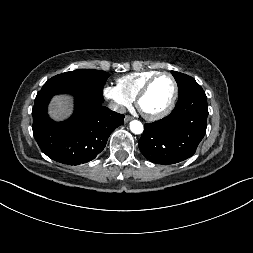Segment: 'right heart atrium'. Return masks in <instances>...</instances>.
Wrapping results in <instances>:
<instances>
[{
    "label": "right heart atrium",
    "mask_w": 253,
    "mask_h": 253,
    "mask_svg": "<svg viewBox=\"0 0 253 253\" xmlns=\"http://www.w3.org/2000/svg\"><path fill=\"white\" fill-rule=\"evenodd\" d=\"M103 95L117 112L123 111L132 102L116 85H106L103 88Z\"/></svg>",
    "instance_id": "d8ad5b80"
}]
</instances>
